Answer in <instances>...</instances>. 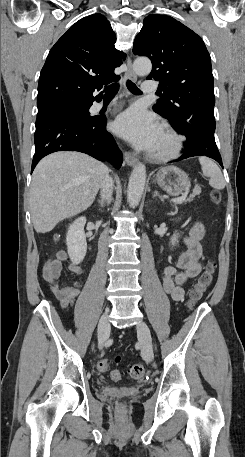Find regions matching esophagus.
Segmentation results:
<instances>
[{
  "label": "esophagus",
  "instance_id": "1",
  "mask_svg": "<svg viewBox=\"0 0 245 457\" xmlns=\"http://www.w3.org/2000/svg\"><path fill=\"white\" fill-rule=\"evenodd\" d=\"M126 79H130L133 82H135L137 80V75L133 70L132 61H131L130 57L127 59V70L125 72L124 81ZM124 159H125L127 165H129L130 167H133L138 162V159L136 157H134L128 153H124Z\"/></svg>",
  "mask_w": 245,
  "mask_h": 457
}]
</instances>
